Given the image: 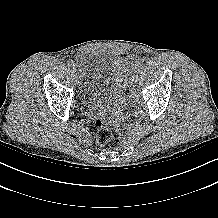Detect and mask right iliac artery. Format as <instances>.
<instances>
[{
  "mask_svg": "<svg viewBox=\"0 0 218 218\" xmlns=\"http://www.w3.org/2000/svg\"><path fill=\"white\" fill-rule=\"evenodd\" d=\"M74 64V62L72 60H68L67 65L68 66H72Z\"/></svg>",
  "mask_w": 218,
  "mask_h": 218,
  "instance_id": "82829eb1",
  "label": "right iliac artery"
}]
</instances>
